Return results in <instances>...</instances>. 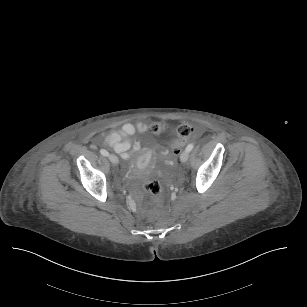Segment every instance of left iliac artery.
Instances as JSON below:
<instances>
[{
	"label": "left iliac artery",
	"mask_w": 307,
	"mask_h": 307,
	"mask_svg": "<svg viewBox=\"0 0 307 307\" xmlns=\"http://www.w3.org/2000/svg\"><path fill=\"white\" fill-rule=\"evenodd\" d=\"M194 147V144H189L187 147H186V151L190 152Z\"/></svg>",
	"instance_id": "obj_1"
}]
</instances>
